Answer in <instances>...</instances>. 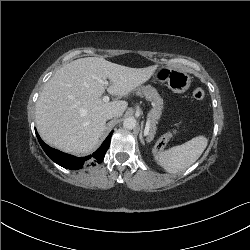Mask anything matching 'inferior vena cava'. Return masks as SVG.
Instances as JSON below:
<instances>
[{
    "label": "inferior vena cava",
    "instance_id": "602c4592",
    "mask_svg": "<svg viewBox=\"0 0 250 250\" xmlns=\"http://www.w3.org/2000/svg\"><path fill=\"white\" fill-rule=\"evenodd\" d=\"M119 116V112L117 110H110L107 114H106V119H112L114 117H118Z\"/></svg>",
    "mask_w": 250,
    "mask_h": 250
}]
</instances>
